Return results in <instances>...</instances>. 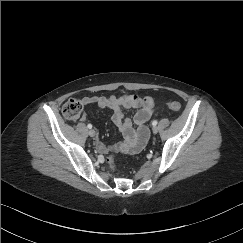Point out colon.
<instances>
[{
  "label": "colon",
  "mask_w": 243,
  "mask_h": 243,
  "mask_svg": "<svg viewBox=\"0 0 243 243\" xmlns=\"http://www.w3.org/2000/svg\"><path fill=\"white\" fill-rule=\"evenodd\" d=\"M165 106L171 111H179L181 109V104L178 101H169ZM83 109V105L79 100L69 99L62 106V115L65 119L76 120ZM108 164L114 166V158L109 156Z\"/></svg>",
  "instance_id": "obj_1"
}]
</instances>
